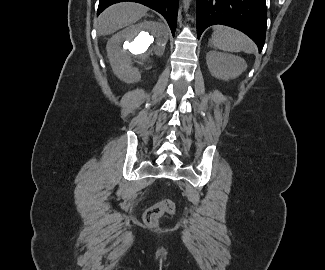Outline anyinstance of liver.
I'll return each instance as SVG.
<instances>
[{"instance_id":"obj_1","label":"liver","mask_w":325,"mask_h":270,"mask_svg":"<svg viewBox=\"0 0 325 270\" xmlns=\"http://www.w3.org/2000/svg\"><path fill=\"white\" fill-rule=\"evenodd\" d=\"M147 11V7L138 3L124 2L112 5L97 19L98 34H113L140 20Z\"/></svg>"}]
</instances>
